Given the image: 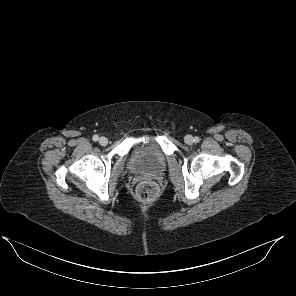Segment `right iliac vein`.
Listing matches in <instances>:
<instances>
[{
  "mask_svg": "<svg viewBox=\"0 0 296 296\" xmlns=\"http://www.w3.org/2000/svg\"><path fill=\"white\" fill-rule=\"evenodd\" d=\"M99 143H100V145H102V146H106L107 143H108V139H107L106 137H100V139H99Z\"/></svg>",
  "mask_w": 296,
  "mask_h": 296,
  "instance_id": "right-iliac-vein-1",
  "label": "right iliac vein"
}]
</instances>
